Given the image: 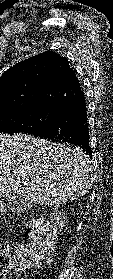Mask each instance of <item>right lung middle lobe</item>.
I'll return each instance as SVG.
<instances>
[{"instance_id": "dd1d6c3e", "label": "right lung middle lobe", "mask_w": 113, "mask_h": 279, "mask_svg": "<svg viewBox=\"0 0 113 279\" xmlns=\"http://www.w3.org/2000/svg\"><path fill=\"white\" fill-rule=\"evenodd\" d=\"M65 114L64 109L36 106L0 109V133H31Z\"/></svg>"}]
</instances>
